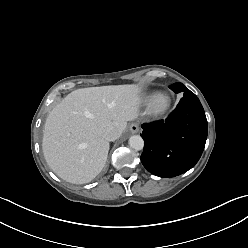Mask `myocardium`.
<instances>
[{
    "mask_svg": "<svg viewBox=\"0 0 248 248\" xmlns=\"http://www.w3.org/2000/svg\"><path fill=\"white\" fill-rule=\"evenodd\" d=\"M171 105L170 96L162 91L155 92L147 103V113L152 117L164 114Z\"/></svg>",
    "mask_w": 248,
    "mask_h": 248,
    "instance_id": "obj_1",
    "label": "myocardium"
}]
</instances>
